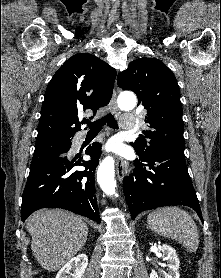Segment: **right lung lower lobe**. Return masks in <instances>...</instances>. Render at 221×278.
<instances>
[{
  "label": "right lung lower lobe",
  "instance_id": "1",
  "mask_svg": "<svg viewBox=\"0 0 221 278\" xmlns=\"http://www.w3.org/2000/svg\"><path fill=\"white\" fill-rule=\"evenodd\" d=\"M86 154L90 161L80 156L71 159L67 152L58 153L31 167L22 196L21 220L41 208H62L100 223L95 196L94 172L101 155V145L93 143ZM84 166L85 170H74Z\"/></svg>",
  "mask_w": 221,
  "mask_h": 278
}]
</instances>
